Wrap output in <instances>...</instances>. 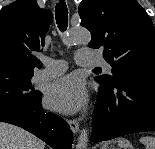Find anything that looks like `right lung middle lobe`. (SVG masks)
<instances>
[{"label": "right lung middle lobe", "instance_id": "dd1d6c3e", "mask_svg": "<svg viewBox=\"0 0 155 149\" xmlns=\"http://www.w3.org/2000/svg\"><path fill=\"white\" fill-rule=\"evenodd\" d=\"M34 73H22L0 67V106L26 108L41 99L31 79Z\"/></svg>", "mask_w": 155, "mask_h": 149}]
</instances>
